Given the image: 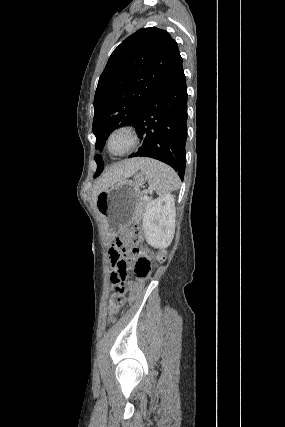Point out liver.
<instances>
[{
  "instance_id": "6515ba94",
  "label": "liver",
  "mask_w": 285,
  "mask_h": 427,
  "mask_svg": "<svg viewBox=\"0 0 285 427\" xmlns=\"http://www.w3.org/2000/svg\"><path fill=\"white\" fill-rule=\"evenodd\" d=\"M145 158H133L129 160L122 161L118 164H115L108 170H106L102 176L98 179L93 192L92 199L96 205L97 196L105 190L107 187L111 186L114 183L120 182L124 179L129 178L135 174L141 166L145 163Z\"/></svg>"
}]
</instances>
